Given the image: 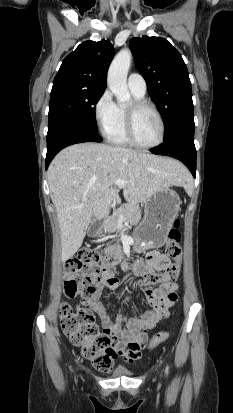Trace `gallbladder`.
I'll return each mask as SVG.
<instances>
[{
	"label": "gallbladder",
	"mask_w": 233,
	"mask_h": 413,
	"mask_svg": "<svg viewBox=\"0 0 233 413\" xmlns=\"http://www.w3.org/2000/svg\"><path fill=\"white\" fill-rule=\"evenodd\" d=\"M92 221H94V218L92 219ZM88 234H89V231H88Z\"/></svg>",
	"instance_id": "gallbladder-1"
}]
</instances>
